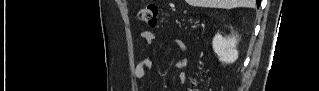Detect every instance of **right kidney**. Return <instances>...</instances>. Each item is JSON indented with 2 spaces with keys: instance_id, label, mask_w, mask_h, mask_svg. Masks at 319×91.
I'll return each instance as SVG.
<instances>
[{
  "instance_id": "ca27d5eb",
  "label": "right kidney",
  "mask_w": 319,
  "mask_h": 91,
  "mask_svg": "<svg viewBox=\"0 0 319 91\" xmlns=\"http://www.w3.org/2000/svg\"><path fill=\"white\" fill-rule=\"evenodd\" d=\"M237 40L234 35L223 37L221 34H216L213 38L212 46L214 52L223 63H233L238 58V51L236 49Z\"/></svg>"
}]
</instances>
